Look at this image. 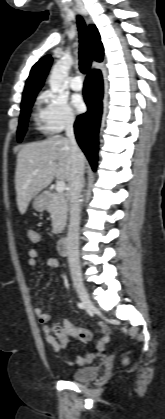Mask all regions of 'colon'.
Instances as JSON below:
<instances>
[{"label": "colon", "mask_w": 165, "mask_h": 419, "mask_svg": "<svg viewBox=\"0 0 165 419\" xmlns=\"http://www.w3.org/2000/svg\"><path fill=\"white\" fill-rule=\"evenodd\" d=\"M28 236H29V239L32 242H38V240H39L38 234H37V232L34 229H29L28 230ZM105 330H106V328H105L104 325H101L99 327V331H103L104 332ZM46 331L49 334L55 335L60 340H63V339H65L68 336V333L65 330H63L60 326H57V325L52 326V327H48L46 329ZM103 336H106V335H103Z\"/></svg>", "instance_id": "colon-1"}]
</instances>
